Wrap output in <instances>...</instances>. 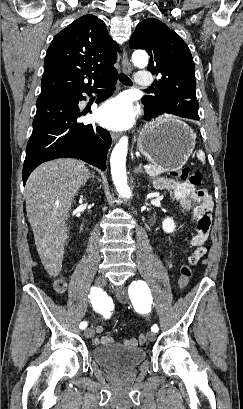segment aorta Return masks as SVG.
Here are the masks:
<instances>
[{"label":"aorta","instance_id":"762f6f07","mask_svg":"<svg viewBox=\"0 0 243 409\" xmlns=\"http://www.w3.org/2000/svg\"><path fill=\"white\" fill-rule=\"evenodd\" d=\"M132 62L137 67H145L148 55L143 51L134 52ZM128 152V138L122 137L115 145L110 158L111 174L117 192L124 198H130L131 190L127 183L126 156Z\"/></svg>","mask_w":243,"mask_h":409}]
</instances>
